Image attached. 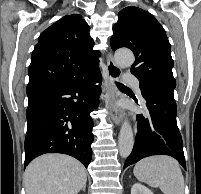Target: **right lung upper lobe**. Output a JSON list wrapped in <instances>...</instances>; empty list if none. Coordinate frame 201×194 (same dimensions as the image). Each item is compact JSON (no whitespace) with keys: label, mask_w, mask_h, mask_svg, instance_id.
<instances>
[{"label":"right lung upper lobe","mask_w":201,"mask_h":194,"mask_svg":"<svg viewBox=\"0 0 201 194\" xmlns=\"http://www.w3.org/2000/svg\"><path fill=\"white\" fill-rule=\"evenodd\" d=\"M89 30L77 14L64 16L44 30L32 53L28 85L72 83L99 70L100 52L92 49Z\"/></svg>","instance_id":"1"}]
</instances>
